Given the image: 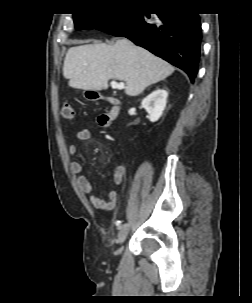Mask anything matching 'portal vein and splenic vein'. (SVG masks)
Segmentation results:
<instances>
[{"label":"portal vein and splenic vein","mask_w":252,"mask_h":303,"mask_svg":"<svg viewBox=\"0 0 252 303\" xmlns=\"http://www.w3.org/2000/svg\"><path fill=\"white\" fill-rule=\"evenodd\" d=\"M110 85L113 89L122 90L125 88V84L123 82L117 83L116 81H111Z\"/></svg>","instance_id":"portal-vein-and-splenic-vein-1"}]
</instances>
